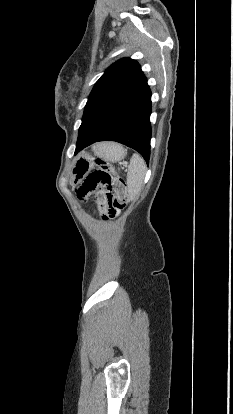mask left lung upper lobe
I'll return each mask as SVG.
<instances>
[{
  "label": "left lung upper lobe",
  "instance_id": "left-lung-upper-lobe-1",
  "mask_svg": "<svg viewBox=\"0 0 233 414\" xmlns=\"http://www.w3.org/2000/svg\"><path fill=\"white\" fill-rule=\"evenodd\" d=\"M143 77L141 67L135 60L123 58L116 61L96 82L86 106L98 99L124 90Z\"/></svg>",
  "mask_w": 233,
  "mask_h": 414
}]
</instances>
